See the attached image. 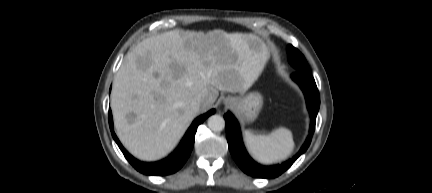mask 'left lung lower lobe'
I'll return each instance as SVG.
<instances>
[{
	"label": "left lung lower lobe",
	"instance_id": "left-lung-lower-lobe-1",
	"mask_svg": "<svg viewBox=\"0 0 432 193\" xmlns=\"http://www.w3.org/2000/svg\"><path fill=\"white\" fill-rule=\"evenodd\" d=\"M292 79L300 86L306 98V104L311 117L310 135L301 150L291 160L282 165L270 167L261 166L247 153L240 132V127L234 116L228 112L224 115L226 121V136L232 157L238 166L248 175L258 178H275L287 170L294 161L309 147L315 130L316 116L320 106L319 92L311 72L297 70Z\"/></svg>",
	"mask_w": 432,
	"mask_h": 193
}]
</instances>
